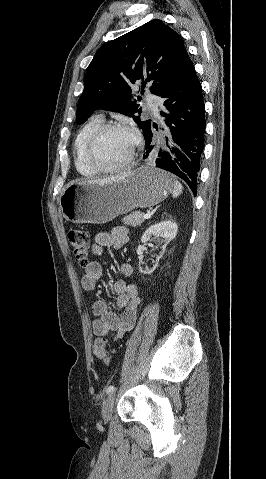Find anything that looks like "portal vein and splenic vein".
I'll list each match as a JSON object with an SVG mask.
<instances>
[{"mask_svg": "<svg viewBox=\"0 0 266 479\" xmlns=\"http://www.w3.org/2000/svg\"><path fill=\"white\" fill-rule=\"evenodd\" d=\"M143 218H144V219H150V218H151V214H144V215H143Z\"/></svg>", "mask_w": 266, "mask_h": 479, "instance_id": "portal-vein-and-splenic-vein-1", "label": "portal vein and splenic vein"}]
</instances>
